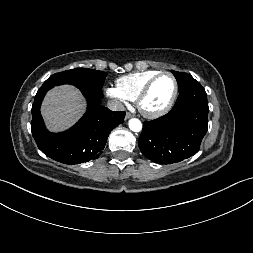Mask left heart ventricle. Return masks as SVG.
<instances>
[{
  "label": "left heart ventricle",
  "mask_w": 253,
  "mask_h": 253,
  "mask_svg": "<svg viewBox=\"0 0 253 253\" xmlns=\"http://www.w3.org/2000/svg\"><path fill=\"white\" fill-rule=\"evenodd\" d=\"M174 89V83L170 76L160 77L150 89L143 105L147 110L155 111L163 108L169 101Z\"/></svg>",
  "instance_id": "left-heart-ventricle-1"
}]
</instances>
